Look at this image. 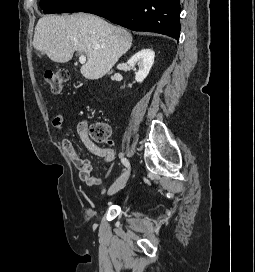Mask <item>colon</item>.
Wrapping results in <instances>:
<instances>
[{
    "label": "colon",
    "instance_id": "1",
    "mask_svg": "<svg viewBox=\"0 0 255 272\" xmlns=\"http://www.w3.org/2000/svg\"><path fill=\"white\" fill-rule=\"evenodd\" d=\"M69 73L64 69H50L45 72L44 78L53 94H60ZM111 126L108 123H95L89 127L90 137L97 143L106 144L111 135Z\"/></svg>",
    "mask_w": 255,
    "mask_h": 272
}]
</instances>
